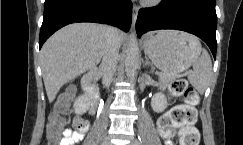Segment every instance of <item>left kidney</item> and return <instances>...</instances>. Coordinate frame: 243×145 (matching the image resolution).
Listing matches in <instances>:
<instances>
[{
    "label": "left kidney",
    "mask_w": 243,
    "mask_h": 145,
    "mask_svg": "<svg viewBox=\"0 0 243 145\" xmlns=\"http://www.w3.org/2000/svg\"><path fill=\"white\" fill-rule=\"evenodd\" d=\"M152 109L157 112H163L167 107V99L163 93H156L151 99Z\"/></svg>",
    "instance_id": "5707ae66"
}]
</instances>
